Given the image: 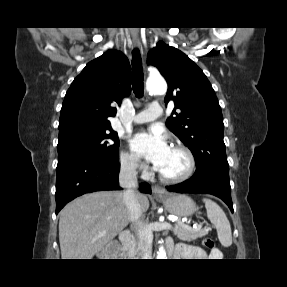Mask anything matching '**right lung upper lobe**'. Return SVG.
I'll return each mask as SVG.
<instances>
[{
    "instance_id": "1",
    "label": "right lung upper lobe",
    "mask_w": 287,
    "mask_h": 287,
    "mask_svg": "<svg viewBox=\"0 0 287 287\" xmlns=\"http://www.w3.org/2000/svg\"><path fill=\"white\" fill-rule=\"evenodd\" d=\"M130 64L116 50H108L89 62L68 89L59 119V128L90 123L110 126L116 115L114 105H120L131 92Z\"/></svg>"
}]
</instances>
